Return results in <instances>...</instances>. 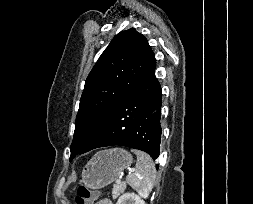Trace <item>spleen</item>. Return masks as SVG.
<instances>
[{"label":"spleen","mask_w":253,"mask_h":204,"mask_svg":"<svg viewBox=\"0 0 253 204\" xmlns=\"http://www.w3.org/2000/svg\"><path fill=\"white\" fill-rule=\"evenodd\" d=\"M137 156V162L133 173H130L126 181L140 196L147 197L153 188L156 177V169L152 158L145 152L132 150Z\"/></svg>","instance_id":"obj_1"}]
</instances>
